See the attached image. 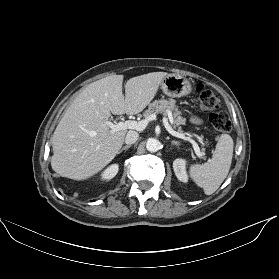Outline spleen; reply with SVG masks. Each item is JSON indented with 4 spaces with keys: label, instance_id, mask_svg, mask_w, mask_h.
Listing matches in <instances>:
<instances>
[{
    "label": "spleen",
    "instance_id": "3e777b00",
    "mask_svg": "<svg viewBox=\"0 0 279 279\" xmlns=\"http://www.w3.org/2000/svg\"><path fill=\"white\" fill-rule=\"evenodd\" d=\"M233 146L231 136L222 134L213 157L204 164L191 165L190 176L203 188L206 195L213 194L227 177L233 157Z\"/></svg>",
    "mask_w": 279,
    "mask_h": 279
}]
</instances>
